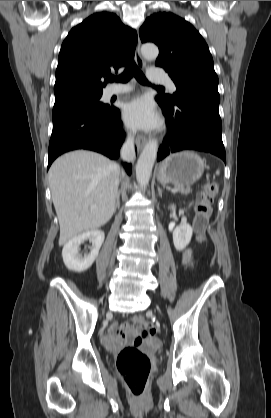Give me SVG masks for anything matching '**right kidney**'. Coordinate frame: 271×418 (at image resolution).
<instances>
[{
    "mask_svg": "<svg viewBox=\"0 0 271 418\" xmlns=\"http://www.w3.org/2000/svg\"><path fill=\"white\" fill-rule=\"evenodd\" d=\"M105 234L101 230L86 231L66 243L62 250L64 264L69 270L82 272L91 267L98 256L99 249L104 242ZM85 240L92 242L91 252L88 255L79 254V246Z\"/></svg>",
    "mask_w": 271,
    "mask_h": 418,
    "instance_id": "right-kidney-1",
    "label": "right kidney"
}]
</instances>
